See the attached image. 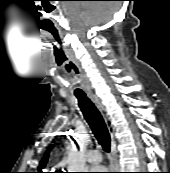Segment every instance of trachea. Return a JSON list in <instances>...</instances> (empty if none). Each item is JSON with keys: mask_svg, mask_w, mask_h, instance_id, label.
Listing matches in <instances>:
<instances>
[{"mask_svg": "<svg viewBox=\"0 0 170 173\" xmlns=\"http://www.w3.org/2000/svg\"><path fill=\"white\" fill-rule=\"evenodd\" d=\"M75 96L78 99L80 110L82 111L83 116L89 124L98 143L106 152H109L111 138L100 111L94 103L87 98L85 93H75Z\"/></svg>", "mask_w": 170, "mask_h": 173, "instance_id": "1", "label": "trachea"}]
</instances>
